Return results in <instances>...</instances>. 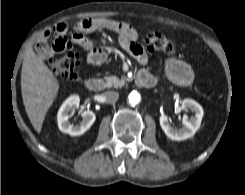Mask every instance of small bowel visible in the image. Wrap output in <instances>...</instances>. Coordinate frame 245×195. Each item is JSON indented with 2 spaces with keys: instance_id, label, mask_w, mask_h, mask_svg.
Returning <instances> with one entry per match:
<instances>
[{
  "instance_id": "1",
  "label": "small bowel",
  "mask_w": 245,
  "mask_h": 195,
  "mask_svg": "<svg viewBox=\"0 0 245 195\" xmlns=\"http://www.w3.org/2000/svg\"><path fill=\"white\" fill-rule=\"evenodd\" d=\"M102 29L117 33L119 45L134 57L140 65L145 66L147 64L148 56L143 47L137 42L138 33L136 29L129 23L109 18H87L81 20L77 23L76 33L71 40L66 37L68 31L67 23L59 22L51 30H47L44 33L41 41L35 47L40 55L49 56L56 52H62L72 45H77L87 51L86 61L89 64L101 65L107 60L108 54L96 46L85 34ZM51 32L55 34V38L50 45H47L46 40ZM143 71L146 70L143 69Z\"/></svg>"
}]
</instances>
